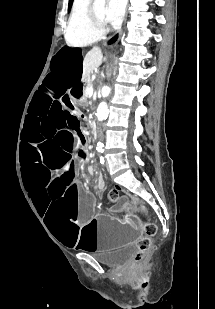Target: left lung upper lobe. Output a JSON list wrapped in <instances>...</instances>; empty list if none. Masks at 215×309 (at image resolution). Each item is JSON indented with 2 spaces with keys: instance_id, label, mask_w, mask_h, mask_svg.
Listing matches in <instances>:
<instances>
[{
  "instance_id": "left-lung-upper-lobe-1",
  "label": "left lung upper lobe",
  "mask_w": 215,
  "mask_h": 309,
  "mask_svg": "<svg viewBox=\"0 0 215 309\" xmlns=\"http://www.w3.org/2000/svg\"><path fill=\"white\" fill-rule=\"evenodd\" d=\"M72 1H73V0H69V8H70V6H71V4H72Z\"/></svg>"
}]
</instances>
